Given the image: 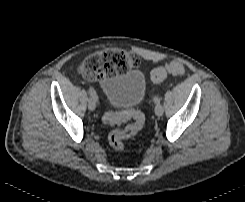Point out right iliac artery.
Instances as JSON below:
<instances>
[{
    "mask_svg": "<svg viewBox=\"0 0 245 202\" xmlns=\"http://www.w3.org/2000/svg\"><path fill=\"white\" fill-rule=\"evenodd\" d=\"M89 93H90L91 97H92L95 101H98V96H97L96 91L94 90V88L89 87Z\"/></svg>",
    "mask_w": 245,
    "mask_h": 202,
    "instance_id": "82829eb1",
    "label": "right iliac artery"
}]
</instances>
